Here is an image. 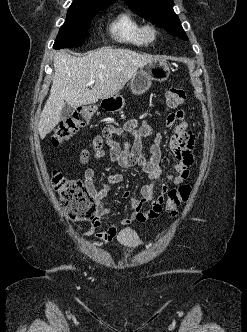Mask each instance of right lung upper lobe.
<instances>
[{
  "label": "right lung upper lobe",
  "mask_w": 247,
  "mask_h": 332,
  "mask_svg": "<svg viewBox=\"0 0 247 332\" xmlns=\"http://www.w3.org/2000/svg\"><path fill=\"white\" fill-rule=\"evenodd\" d=\"M115 0H73L72 6H99L113 3Z\"/></svg>",
  "instance_id": "obj_1"
}]
</instances>
